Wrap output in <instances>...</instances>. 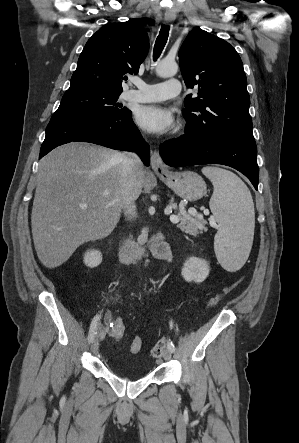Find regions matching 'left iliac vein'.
Here are the masks:
<instances>
[{
	"label": "left iliac vein",
	"mask_w": 299,
	"mask_h": 443,
	"mask_svg": "<svg viewBox=\"0 0 299 443\" xmlns=\"http://www.w3.org/2000/svg\"><path fill=\"white\" fill-rule=\"evenodd\" d=\"M163 357L166 361H169L172 357V352L167 349L164 353H163Z\"/></svg>",
	"instance_id": "obj_1"
}]
</instances>
